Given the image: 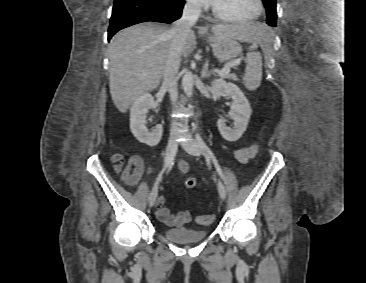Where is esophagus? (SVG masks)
<instances>
[{
  "mask_svg": "<svg viewBox=\"0 0 366 283\" xmlns=\"http://www.w3.org/2000/svg\"><path fill=\"white\" fill-rule=\"evenodd\" d=\"M203 31H206V29L205 28H201Z\"/></svg>",
  "mask_w": 366,
  "mask_h": 283,
  "instance_id": "34e87169",
  "label": "esophagus"
}]
</instances>
